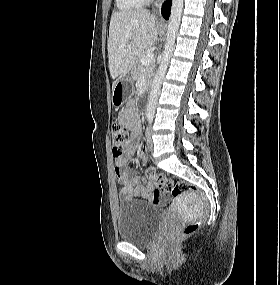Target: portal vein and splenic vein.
Returning <instances> with one entry per match:
<instances>
[{
	"mask_svg": "<svg viewBox=\"0 0 280 285\" xmlns=\"http://www.w3.org/2000/svg\"><path fill=\"white\" fill-rule=\"evenodd\" d=\"M129 47H130V45H129ZM153 58H154V54L153 53H148L147 55L142 57L141 63L143 65H149L152 62Z\"/></svg>",
	"mask_w": 280,
	"mask_h": 285,
	"instance_id": "18ae733b",
	"label": "portal vein and splenic vein"
}]
</instances>
